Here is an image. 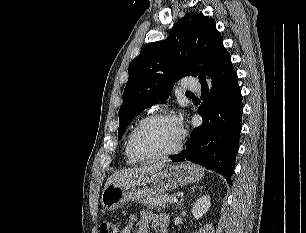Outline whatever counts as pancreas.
Returning <instances> with one entry per match:
<instances>
[{
    "label": "pancreas",
    "mask_w": 306,
    "mask_h": 233,
    "mask_svg": "<svg viewBox=\"0 0 306 233\" xmlns=\"http://www.w3.org/2000/svg\"><path fill=\"white\" fill-rule=\"evenodd\" d=\"M174 197L175 195H170V196L167 194L158 195L155 197H149L144 199L142 201V204L152 209H161V208L165 209L166 207H169V205L171 204L169 200Z\"/></svg>",
    "instance_id": "1"
}]
</instances>
